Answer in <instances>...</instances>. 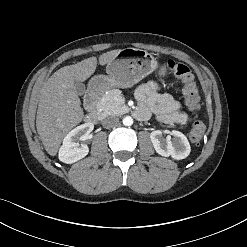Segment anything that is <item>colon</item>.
I'll list each match as a JSON object with an SVG mask.
<instances>
[{
	"label": "colon",
	"mask_w": 247,
	"mask_h": 247,
	"mask_svg": "<svg viewBox=\"0 0 247 247\" xmlns=\"http://www.w3.org/2000/svg\"><path fill=\"white\" fill-rule=\"evenodd\" d=\"M168 68L180 79L183 94L188 108L192 111L199 109V92L191 70L183 63L174 60L168 61ZM205 133V125L201 121H195L190 131V140L199 143Z\"/></svg>",
	"instance_id": "obj_1"
}]
</instances>
